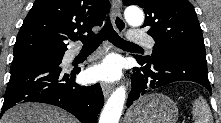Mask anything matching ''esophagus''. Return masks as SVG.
<instances>
[{"mask_svg":"<svg viewBox=\"0 0 221 123\" xmlns=\"http://www.w3.org/2000/svg\"><path fill=\"white\" fill-rule=\"evenodd\" d=\"M112 10H113V24L116 30L123 33L126 29V22L124 21L121 14V2L120 0H112ZM113 90V86L110 84H103L102 91L105 98H108Z\"/></svg>","mask_w":221,"mask_h":123,"instance_id":"esophagus-1","label":"esophagus"}]
</instances>
